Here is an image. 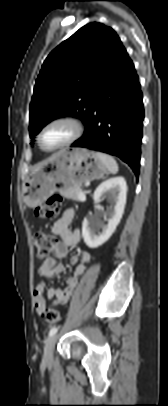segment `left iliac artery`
<instances>
[{"mask_svg": "<svg viewBox=\"0 0 168 406\" xmlns=\"http://www.w3.org/2000/svg\"><path fill=\"white\" fill-rule=\"evenodd\" d=\"M57 331H58L57 327L51 328L49 331V336L51 337V336L55 335L57 333Z\"/></svg>", "mask_w": 168, "mask_h": 406, "instance_id": "obj_1", "label": "left iliac artery"}]
</instances>
